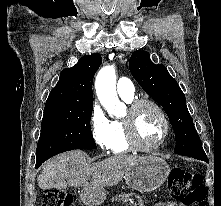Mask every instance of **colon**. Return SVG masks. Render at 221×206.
<instances>
[{"instance_id":"colon-1","label":"colon","mask_w":221,"mask_h":206,"mask_svg":"<svg viewBox=\"0 0 221 206\" xmlns=\"http://www.w3.org/2000/svg\"><path fill=\"white\" fill-rule=\"evenodd\" d=\"M168 192L171 197L178 199L183 206H204L206 189L199 174L183 168H173L169 174ZM73 196L62 189L50 190L44 193L42 206H71Z\"/></svg>"}]
</instances>
